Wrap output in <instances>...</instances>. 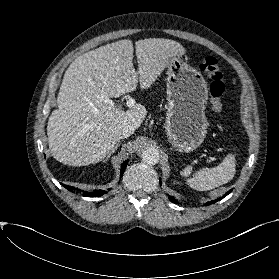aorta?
<instances>
[{
	"mask_svg": "<svg viewBox=\"0 0 279 279\" xmlns=\"http://www.w3.org/2000/svg\"><path fill=\"white\" fill-rule=\"evenodd\" d=\"M142 160L149 165H155L159 161V151L153 147L147 148L142 152Z\"/></svg>",
	"mask_w": 279,
	"mask_h": 279,
	"instance_id": "762f6f07",
	"label": "aorta"
}]
</instances>
